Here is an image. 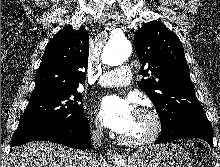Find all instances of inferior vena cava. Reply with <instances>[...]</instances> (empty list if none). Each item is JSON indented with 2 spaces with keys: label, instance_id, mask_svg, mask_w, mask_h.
<instances>
[{
  "label": "inferior vena cava",
  "instance_id": "602c4592",
  "mask_svg": "<svg viewBox=\"0 0 220 167\" xmlns=\"http://www.w3.org/2000/svg\"><path fill=\"white\" fill-rule=\"evenodd\" d=\"M102 130L101 125L96 124V130L91 132L92 142L97 147L101 146L102 140ZM79 166L78 167H93L96 162V156L92 152L81 151L78 155Z\"/></svg>",
  "mask_w": 220,
  "mask_h": 167
}]
</instances>
